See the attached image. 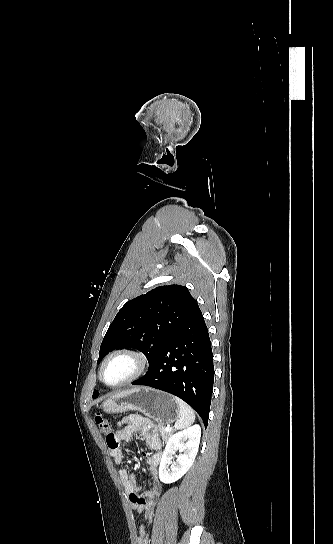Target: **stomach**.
<instances>
[{
	"mask_svg": "<svg viewBox=\"0 0 333 544\" xmlns=\"http://www.w3.org/2000/svg\"><path fill=\"white\" fill-rule=\"evenodd\" d=\"M102 408L107 413L139 411L149 418H155L160 425L175 421L179 415L174 396L142 386L115 393L103 402Z\"/></svg>",
	"mask_w": 333,
	"mask_h": 544,
	"instance_id": "1",
	"label": "stomach"
}]
</instances>
